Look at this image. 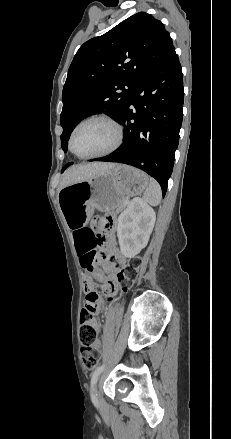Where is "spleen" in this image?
I'll return each instance as SVG.
<instances>
[{"label": "spleen", "mask_w": 231, "mask_h": 439, "mask_svg": "<svg viewBox=\"0 0 231 439\" xmlns=\"http://www.w3.org/2000/svg\"><path fill=\"white\" fill-rule=\"evenodd\" d=\"M161 197H162V192L159 183L155 179L150 178L148 187L144 192V196H143L144 202L152 206H157L161 201Z\"/></svg>", "instance_id": "1"}]
</instances>
